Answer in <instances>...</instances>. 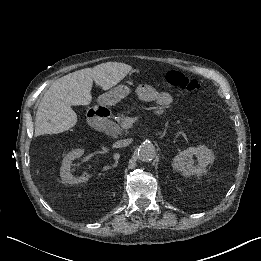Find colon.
<instances>
[{"label":"colon","mask_w":261,"mask_h":261,"mask_svg":"<svg viewBox=\"0 0 261 261\" xmlns=\"http://www.w3.org/2000/svg\"><path fill=\"white\" fill-rule=\"evenodd\" d=\"M166 82L171 85L179 86L182 89L192 91L200 89V84L196 80L189 79L178 72H169L166 74Z\"/></svg>","instance_id":"1"}]
</instances>
